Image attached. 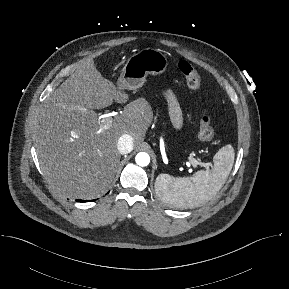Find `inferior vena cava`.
Listing matches in <instances>:
<instances>
[{
  "mask_svg": "<svg viewBox=\"0 0 289 289\" xmlns=\"http://www.w3.org/2000/svg\"><path fill=\"white\" fill-rule=\"evenodd\" d=\"M117 148L120 154H128L133 150V138L129 134H123L118 139Z\"/></svg>",
  "mask_w": 289,
  "mask_h": 289,
  "instance_id": "1",
  "label": "inferior vena cava"
}]
</instances>
